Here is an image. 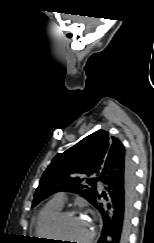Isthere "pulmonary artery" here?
Here are the masks:
<instances>
[{"label":"pulmonary artery","instance_id":"obj_1","mask_svg":"<svg viewBox=\"0 0 154 243\" xmlns=\"http://www.w3.org/2000/svg\"><path fill=\"white\" fill-rule=\"evenodd\" d=\"M99 185L102 186L101 183ZM52 201H54L60 205H63L66 201V196L63 192H58L54 195Z\"/></svg>","mask_w":154,"mask_h":243}]
</instances>
